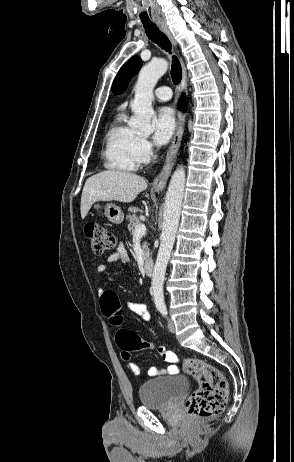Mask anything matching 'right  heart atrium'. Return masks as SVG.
<instances>
[{
  "mask_svg": "<svg viewBox=\"0 0 294 462\" xmlns=\"http://www.w3.org/2000/svg\"><path fill=\"white\" fill-rule=\"evenodd\" d=\"M135 155L138 163L149 161L154 153L153 142L142 135H137L134 144Z\"/></svg>",
  "mask_w": 294,
  "mask_h": 462,
  "instance_id": "right-heart-atrium-1",
  "label": "right heart atrium"
}]
</instances>
